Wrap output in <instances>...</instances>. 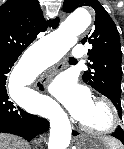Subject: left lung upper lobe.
<instances>
[{"label": "left lung upper lobe", "instance_id": "left-lung-upper-lobe-1", "mask_svg": "<svg viewBox=\"0 0 124 149\" xmlns=\"http://www.w3.org/2000/svg\"><path fill=\"white\" fill-rule=\"evenodd\" d=\"M81 6H91L96 12L94 29L82 39V44L92 45L88 52L91 63L87 64L90 69L84 72L83 81L108 97L121 118L122 52L118 30L97 0H64L63 3V9L68 13Z\"/></svg>", "mask_w": 124, "mask_h": 149}]
</instances>
